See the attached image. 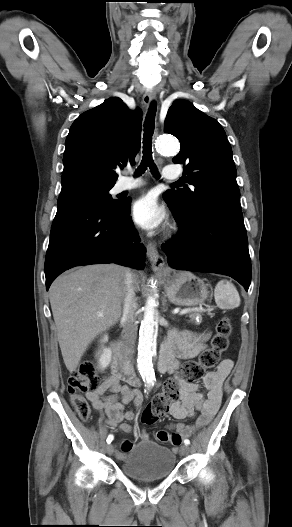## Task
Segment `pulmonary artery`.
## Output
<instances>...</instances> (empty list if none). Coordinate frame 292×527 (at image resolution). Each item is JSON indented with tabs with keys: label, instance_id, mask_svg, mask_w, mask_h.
Segmentation results:
<instances>
[{
	"label": "pulmonary artery",
	"instance_id": "e3ab8cb5",
	"mask_svg": "<svg viewBox=\"0 0 292 527\" xmlns=\"http://www.w3.org/2000/svg\"><path fill=\"white\" fill-rule=\"evenodd\" d=\"M179 172L175 166H165L163 169V177L167 180H176ZM142 185L139 179L123 178L117 183L118 191H128L138 188Z\"/></svg>",
	"mask_w": 292,
	"mask_h": 527
}]
</instances>
